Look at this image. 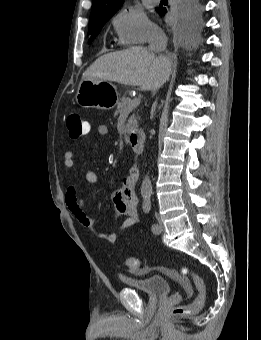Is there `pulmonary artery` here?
Returning a JSON list of instances; mask_svg holds the SVG:
<instances>
[{
    "instance_id": "obj_1",
    "label": "pulmonary artery",
    "mask_w": 261,
    "mask_h": 340,
    "mask_svg": "<svg viewBox=\"0 0 261 340\" xmlns=\"http://www.w3.org/2000/svg\"><path fill=\"white\" fill-rule=\"evenodd\" d=\"M154 3L158 2L159 0H152Z\"/></svg>"
}]
</instances>
